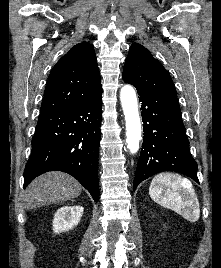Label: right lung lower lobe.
<instances>
[{"label":"right lung lower lobe","instance_id":"98d812e1","mask_svg":"<svg viewBox=\"0 0 221 268\" xmlns=\"http://www.w3.org/2000/svg\"><path fill=\"white\" fill-rule=\"evenodd\" d=\"M101 108L102 94L74 106L40 112L24 170V188L40 174L58 170L75 177L99 201Z\"/></svg>","mask_w":221,"mask_h":268}]
</instances>
